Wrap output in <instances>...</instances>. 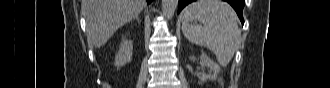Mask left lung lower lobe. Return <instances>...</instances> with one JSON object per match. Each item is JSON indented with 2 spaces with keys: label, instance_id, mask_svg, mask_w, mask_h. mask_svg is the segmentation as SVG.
Returning a JSON list of instances; mask_svg holds the SVG:
<instances>
[{
  "label": "left lung lower lobe",
  "instance_id": "1",
  "mask_svg": "<svg viewBox=\"0 0 330 88\" xmlns=\"http://www.w3.org/2000/svg\"><path fill=\"white\" fill-rule=\"evenodd\" d=\"M195 0H179L178 3V13L189 3L194 2ZM228 2L236 11L237 15L239 16L241 23L244 24V19H243V7L245 4V0H224Z\"/></svg>",
  "mask_w": 330,
  "mask_h": 88
}]
</instances>
